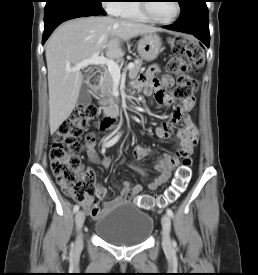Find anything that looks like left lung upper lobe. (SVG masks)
<instances>
[{
  "label": "left lung upper lobe",
  "instance_id": "obj_1",
  "mask_svg": "<svg viewBox=\"0 0 258 275\" xmlns=\"http://www.w3.org/2000/svg\"><path fill=\"white\" fill-rule=\"evenodd\" d=\"M188 0H178L180 7H182Z\"/></svg>",
  "mask_w": 258,
  "mask_h": 275
}]
</instances>
